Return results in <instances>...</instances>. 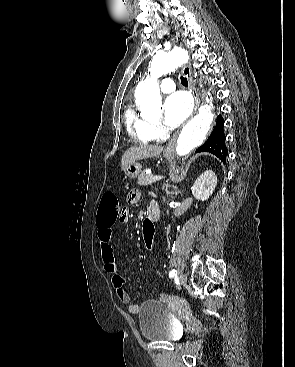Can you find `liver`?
<instances>
[{"mask_svg":"<svg viewBox=\"0 0 295 367\" xmlns=\"http://www.w3.org/2000/svg\"><path fill=\"white\" fill-rule=\"evenodd\" d=\"M163 151L162 146L140 144L128 148L122 156L121 168L123 171L138 160L158 157Z\"/></svg>","mask_w":295,"mask_h":367,"instance_id":"6515ba94","label":"liver"}]
</instances>
